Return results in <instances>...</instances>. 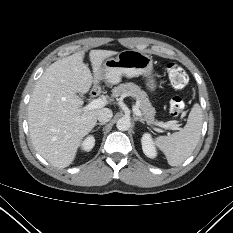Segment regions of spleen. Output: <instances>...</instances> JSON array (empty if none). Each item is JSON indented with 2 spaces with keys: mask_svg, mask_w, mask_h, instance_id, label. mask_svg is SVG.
<instances>
[{
  "mask_svg": "<svg viewBox=\"0 0 233 233\" xmlns=\"http://www.w3.org/2000/svg\"><path fill=\"white\" fill-rule=\"evenodd\" d=\"M202 120V109L195 104L183 129L156 138L155 143L164 152L169 165L178 166L192 154L201 136Z\"/></svg>",
  "mask_w": 233,
  "mask_h": 233,
  "instance_id": "3e777b00",
  "label": "spleen"
}]
</instances>
